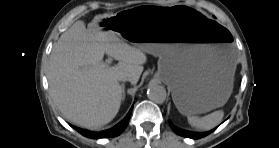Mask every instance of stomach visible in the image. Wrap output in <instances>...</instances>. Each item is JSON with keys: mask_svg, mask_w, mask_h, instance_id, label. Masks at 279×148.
Instances as JSON below:
<instances>
[{"mask_svg": "<svg viewBox=\"0 0 279 148\" xmlns=\"http://www.w3.org/2000/svg\"><path fill=\"white\" fill-rule=\"evenodd\" d=\"M101 27L156 55V78L167 84L186 116L223 106L233 89V35L192 7L132 6L101 21Z\"/></svg>", "mask_w": 279, "mask_h": 148, "instance_id": "stomach-1", "label": "stomach"}]
</instances>
